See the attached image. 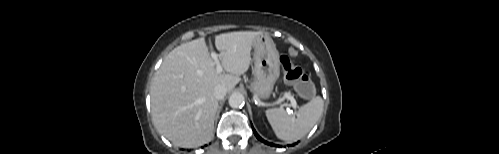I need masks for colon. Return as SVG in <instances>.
<instances>
[{
	"instance_id": "colon-1",
	"label": "colon",
	"mask_w": 499,
	"mask_h": 154,
	"mask_svg": "<svg viewBox=\"0 0 499 154\" xmlns=\"http://www.w3.org/2000/svg\"><path fill=\"white\" fill-rule=\"evenodd\" d=\"M282 70L286 80L305 98L315 95V86L303 70L287 56L280 58Z\"/></svg>"
}]
</instances>
